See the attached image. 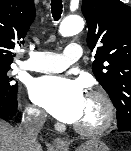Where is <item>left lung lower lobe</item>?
Returning <instances> with one entry per match:
<instances>
[{
    "mask_svg": "<svg viewBox=\"0 0 131 151\" xmlns=\"http://www.w3.org/2000/svg\"><path fill=\"white\" fill-rule=\"evenodd\" d=\"M118 131H131V122L118 126Z\"/></svg>",
    "mask_w": 131,
    "mask_h": 151,
    "instance_id": "0a47b994",
    "label": "left lung lower lobe"
}]
</instances>
